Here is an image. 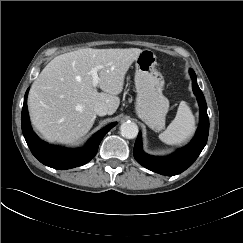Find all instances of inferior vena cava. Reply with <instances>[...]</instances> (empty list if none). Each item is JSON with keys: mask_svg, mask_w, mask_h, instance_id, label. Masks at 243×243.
<instances>
[{"mask_svg": "<svg viewBox=\"0 0 243 243\" xmlns=\"http://www.w3.org/2000/svg\"><path fill=\"white\" fill-rule=\"evenodd\" d=\"M94 111L99 116H104L108 113V108L104 103H97L94 106Z\"/></svg>", "mask_w": 243, "mask_h": 243, "instance_id": "602c4592", "label": "inferior vena cava"}]
</instances>
